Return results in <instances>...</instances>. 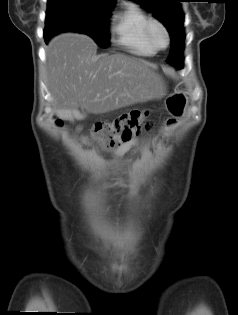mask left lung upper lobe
Returning a JSON list of instances; mask_svg holds the SVG:
<instances>
[{"mask_svg":"<svg viewBox=\"0 0 238 315\" xmlns=\"http://www.w3.org/2000/svg\"><path fill=\"white\" fill-rule=\"evenodd\" d=\"M140 3L159 19L168 29L170 36L184 35V14L179 4L180 0H133ZM185 36V35H184ZM167 62L179 66L178 61L169 55Z\"/></svg>","mask_w":238,"mask_h":315,"instance_id":"5c2ea615","label":"left lung upper lobe"}]
</instances>
